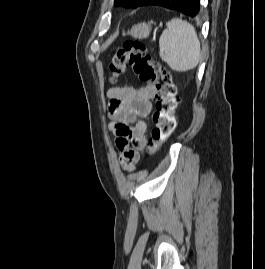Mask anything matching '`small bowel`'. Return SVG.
<instances>
[{
    "label": "small bowel",
    "mask_w": 265,
    "mask_h": 269,
    "mask_svg": "<svg viewBox=\"0 0 265 269\" xmlns=\"http://www.w3.org/2000/svg\"><path fill=\"white\" fill-rule=\"evenodd\" d=\"M155 88L151 84L113 87L106 91L108 111L112 122L109 129L116 133L119 124H126L133 132L131 138L118 135L116 145L122 167L131 171L139 160V150L146 144L145 125L142 121L153 109Z\"/></svg>",
    "instance_id": "c3829d8e"
}]
</instances>
